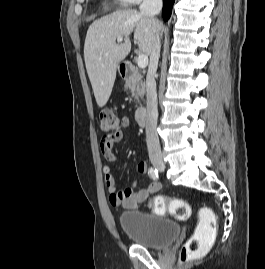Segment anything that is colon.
<instances>
[{
  "mask_svg": "<svg viewBox=\"0 0 265 269\" xmlns=\"http://www.w3.org/2000/svg\"><path fill=\"white\" fill-rule=\"evenodd\" d=\"M101 129L107 136L116 135L121 131L120 119L110 109H102L99 112ZM151 210L157 214L170 213L178 219L185 220L190 216L191 208L187 201L171 199L165 195H158L150 201ZM202 220L194 234L181 249L180 260L182 263L198 256L213 240L216 217L210 209L200 210Z\"/></svg>",
  "mask_w": 265,
  "mask_h": 269,
  "instance_id": "obj_1",
  "label": "colon"
}]
</instances>
